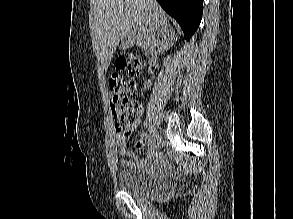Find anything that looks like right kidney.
I'll list each match as a JSON object with an SVG mask.
<instances>
[{"label":"right kidney","instance_id":"right-kidney-1","mask_svg":"<svg viewBox=\"0 0 293 219\" xmlns=\"http://www.w3.org/2000/svg\"><path fill=\"white\" fill-rule=\"evenodd\" d=\"M149 85H150V82L146 83V86H147V87H149Z\"/></svg>","mask_w":293,"mask_h":219}]
</instances>
